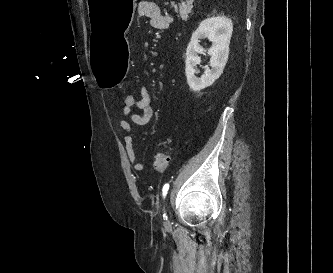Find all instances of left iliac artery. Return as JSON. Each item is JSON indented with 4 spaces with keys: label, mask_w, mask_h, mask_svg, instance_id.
<instances>
[{
    "label": "left iliac artery",
    "mask_w": 333,
    "mask_h": 273,
    "mask_svg": "<svg viewBox=\"0 0 333 273\" xmlns=\"http://www.w3.org/2000/svg\"><path fill=\"white\" fill-rule=\"evenodd\" d=\"M168 190H169V184L166 183V184L163 186V188H162V194H163V197H164V198H165V196L167 195ZM164 217H165V215H164Z\"/></svg>",
    "instance_id": "left-iliac-artery-1"
}]
</instances>
